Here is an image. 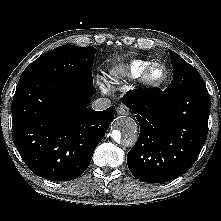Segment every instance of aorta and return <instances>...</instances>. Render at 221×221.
Masks as SVG:
<instances>
[{"instance_id":"762f6f07","label":"aorta","mask_w":221,"mask_h":221,"mask_svg":"<svg viewBox=\"0 0 221 221\" xmlns=\"http://www.w3.org/2000/svg\"><path fill=\"white\" fill-rule=\"evenodd\" d=\"M114 141L124 146H132L138 138V124L128 116L118 117L111 134Z\"/></svg>"}]
</instances>
